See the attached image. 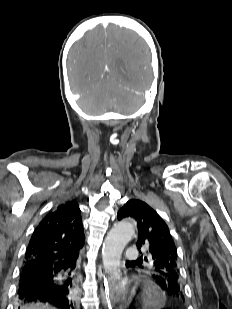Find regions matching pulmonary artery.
Masks as SVG:
<instances>
[{
  "instance_id": "pulmonary-artery-1",
  "label": "pulmonary artery",
  "mask_w": 232,
  "mask_h": 309,
  "mask_svg": "<svg viewBox=\"0 0 232 309\" xmlns=\"http://www.w3.org/2000/svg\"><path fill=\"white\" fill-rule=\"evenodd\" d=\"M125 257L128 260H136L139 257L138 251L135 248H129L126 253H125Z\"/></svg>"
}]
</instances>
